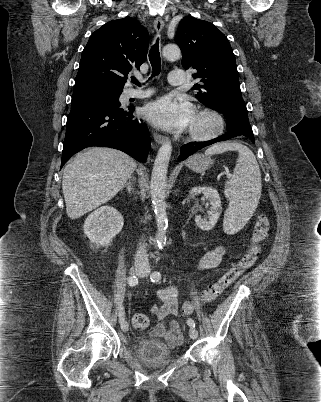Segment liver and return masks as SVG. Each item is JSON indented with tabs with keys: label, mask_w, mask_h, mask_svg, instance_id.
Wrapping results in <instances>:
<instances>
[{
	"label": "liver",
	"mask_w": 321,
	"mask_h": 402,
	"mask_svg": "<svg viewBox=\"0 0 321 402\" xmlns=\"http://www.w3.org/2000/svg\"><path fill=\"white\" fill-rule=\"evenodd\" d=\"M136 165L127 154L106 147H92L76 155L63 172L67 216L78 219L111 200L131 177Z\"/></svg>",
	"instance_id": "obj_1"
}]
</instances>
